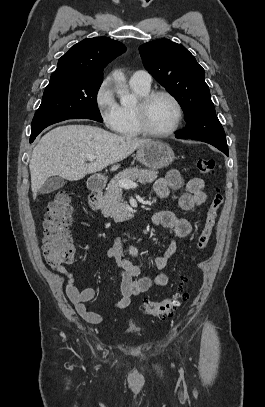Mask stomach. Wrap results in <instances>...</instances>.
Listing matches in <instances>:
<instances>
[{
  "instance_id": "stomach-1",
  "label": "stomach",
  "mask_w": 265,
  "mask_h": 407,
  "mask_svg": "<svg viewBox=\"0 0 265 407\" xmlns=\"http://www.w3.org/2000/svg\"><path fill=\"white\" fill-rule=\"evenodd\" d=\"M137 160L151 169H160L169 166L175 159L173 150L169 145L160 141H151L137 149ZM102 179V176H98Z\"/></svg>"
}]
</instances>
